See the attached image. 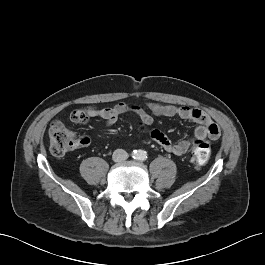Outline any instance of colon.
<instances>
[{
	"instance_id": "colon-1",
	"label": "colon",
	"mask_w": 265,
	"mask_h": 265,
	"mask_svg": "<svg viewBox=\"0 0 265 265\" xmlns=\"http://www.w3.org/2000/svg\"><path fill=\"white\" fill-rule=\"evenodd\" d=\"M81 140L76 134L64 127L60 122H55L49 130L50 151L55 157H63L75 148ZM210 157L209 144L201 139L194 142L192 148V161L197 166L204 165Z\"/></svg>"
}]
</instances>
